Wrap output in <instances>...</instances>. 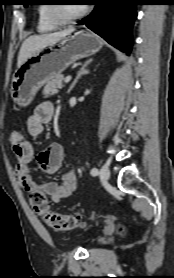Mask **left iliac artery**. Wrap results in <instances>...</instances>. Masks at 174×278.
Listing matches in <instances>:
<instances>
[{"mask_svg": "<svg viewBox=\"0 0 174 278\" xmlns=\"http://www.w3.org/2000/svg\"><path fill=\"white\" fill-rule=\"evenodd\" d=\"M90 173H91L92 176H96V175H98V169L93 168Z\"/></svg>", "mask_w": 174, "mask_h": 278, "instance_id": "left-iliac-artery-1", "label": "left iliac artery"}]
</instances>
